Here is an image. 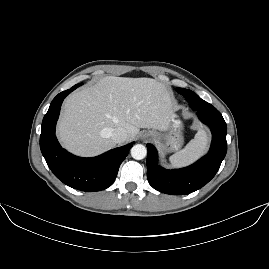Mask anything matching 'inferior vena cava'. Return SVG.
<instances>
[{"label":"inferior vena cava","instance_id":"obj_1","mask_svg":"<svg viewBox=\"0 0 269 269\" xmlns=\"http://www.w3.org/2000/svg\"><path fill=\"white\" fill-rule=\"evenodd\" d=\"M111 138L115 143H123L127 139V131L124 128H116L114 129Z\"/></svg>","mask_w":269,"mask_h":269}]
</instances>
